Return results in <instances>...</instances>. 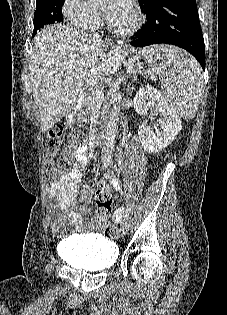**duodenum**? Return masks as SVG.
Returning a JSON list of instances; mask_svg holds the SVG:
<instances>
[{"label": "duodenum", "instance_id": "duodenum-1", "mask_svg": "<svg viewBox=\"0 0 227 315\" xmlns=\"http://www.w3.org/2000/svg\"><path fill=\"white\" fill-rule=\"evenodd\" d=\"M98 139H99V137H96V138L93 139V141H97Z\"/></svg>", "mask_w": 227, "mask_h": 315}]
</instances>
